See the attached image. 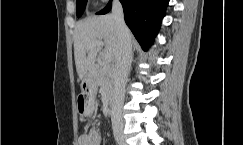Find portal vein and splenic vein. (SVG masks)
<instances>
[{
    "mask_svg": "<svg viewBox=\"0 0 243 145\" xmlns=\"http://www.w3.org/2000/svg\"><path fill=\"white\" fill-rule=\"evenodd\" d=\"M103 42L102 41H95V42H93L91 45H90V47H103ZM103 56H104V60L106 61V62H108V63H110L111 61H112V55L110 54V53H108V52H104V54H103Z\"/></svg>",
    "mask_w": 243,
    "mask_h": 145,
    "instance_id": "1",
    "label": "portal vein and splenic vein"
}]
</instances>
